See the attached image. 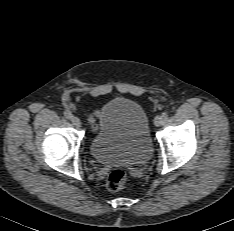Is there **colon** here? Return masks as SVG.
I'll return each mask as SVG.
<instances>
[{"label":"colon","instance_id":"5ec220e1","mask_svg":"<svg viewBox=\"0 0 234 231\" xmlns=\"http://www.w3.org/2000/svg\"><path fill=\"white\" fill-rule=\"evenodd\" d=\"M128 182V175L122 169L112 170L106 179L107 188L110 191H119L122 190Z\"/></svg>","mask_w":234,"mask_h":231}]
</instances>
